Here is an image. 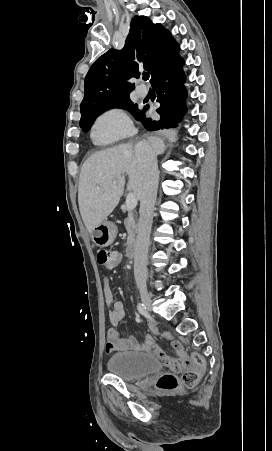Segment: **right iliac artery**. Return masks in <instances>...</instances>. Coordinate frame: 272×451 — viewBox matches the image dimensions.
Wrapping results in <instances>:
<instances>
[{
	"label": "right iliac artery",
	"instance_id": "right-iliac-artery-1",
	"mask_svg": "<svg viewBox=\"0 0 272 451\" xmlns=\"http://www.w3.org/2000/svg\"><path fill=\"white\" fill-rule=\"evenodd\" d=\"M137 308H138L139 313L145 314V312H146V307L144 306V304L139 303L138 306H137Z\"/></svg>",
	"mask_w": 272,
	"mask_h": 451
}]
</instances>
